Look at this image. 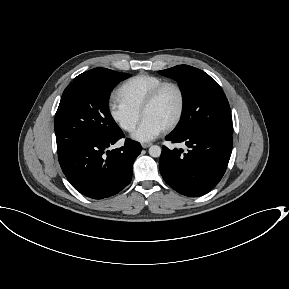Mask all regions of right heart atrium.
<instances>
[{
    "label": "right heart atrium",
    "instance_id": "right-heart-atrium-1",
    "mask_svg": "<svg viewBox=\"0 0 289 289\" xmlns=\"http://www.w3.org/2000/svg\"><path fill=\"white\" fill-rule=\"evenodd\" d=\"M108 112L112 120L126 132L133 131L141 118L140 111L131 108L119 99L109 101Z\"/></svg>",
    "mask_w": 289,
    "mask_h": 289
}]
</instances>
